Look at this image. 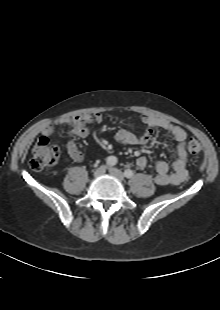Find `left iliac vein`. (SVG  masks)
Segmentation results:
<instances>
[{
  "instance_id": "obj_1",
  "label": "left iliac vein",
  "mask_w": 220,
  "mask_h": 310,
  "mask_svg": "<svg viewBox=\"0 0 220 310\" xmlns=\"http://www.w3.org/2000/svg\"><path fill=\"white\" fill-rule=\"evenodd\" d=\"M109 173L120 181L124 180V174L117 168H109Z\"/></svg>"
}]
</instances>
